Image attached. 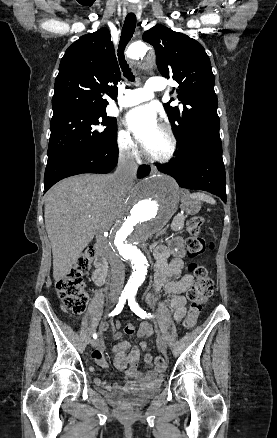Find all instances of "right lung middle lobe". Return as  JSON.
<instances>
[{
  "label": "right lung middle lobe",
  "instance_id": "obj_1",
  "mask_svg": "<svg viewBox=\"0 0 277 438\" xmlns=\"http://www.w3.org/2000/svg\"><path fill=\"white\" fill-rule=\"evenodd\" d=\"M50 129L48 163L70 153L109 148L116 144V118L105 112L53 116Z\"/></svg>",
  "mask_w": 277,
  "mask_h": 438
}]
</instances>
